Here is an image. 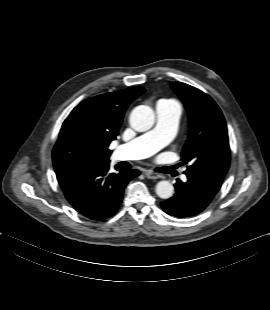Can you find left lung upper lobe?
<instances>
[{
  "label": "left lung upper lobe",
  "mask_w": 270,
  "mask_h": 310,
  "mask_svg": "<svg viewBox=\"0 0 270 310\" xmlns=\"http://www.w3.org/2000/svg\"><path fill=\"white\" fill-rule=\"evenodd\" d=\"M186 105L190 134L182 151L187 172L224 178L230 164L227 127L214 100L199 89L182 82L171 84Z\"/></svg>",
  "instance_id": "1"
}]
</instances>
